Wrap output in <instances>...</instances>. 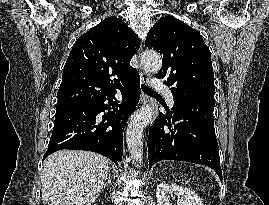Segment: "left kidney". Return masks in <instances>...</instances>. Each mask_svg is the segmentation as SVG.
<instances>
[{"instance_id":"1","label":"left kidney","mask_w":269,"mask_h":205,"mask_svg":"<svg viewBox=\"0 0 269 205\" xmlns=\"http://www.w3.org/2000/svg\"><path fill=\"white\" fill-rule=\"evenodd\" d=\"M177 196V205H203L201 199L190 189L175 184L160 183L156 189L158 205H171V197Z\"/></svg>"}]
</instances>
